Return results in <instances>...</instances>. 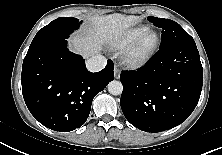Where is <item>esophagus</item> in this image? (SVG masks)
<instances>
[{"label":"esophagus","instance_id":"esophagus-1","mask_svg":"<svg viewBox=\"0 0 222 155\" xmlns=\"http://www.w3.org/2000/svg\"><path fill=\"white\" fill-rule=\"evenodd\" d=\"M119 77H120V70L117 67H115L114 68V78L118 79Z\"/></svg>","mask_w":222,"mask_h":155}]
</instances>
